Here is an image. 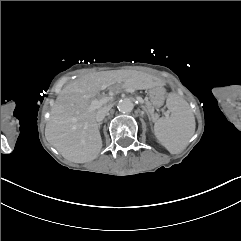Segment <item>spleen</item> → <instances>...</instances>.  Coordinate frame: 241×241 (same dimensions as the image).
<instances>
[{
  "instance_id": "spleen-1",
  "label": "spleen",
  "mask_w": 241,
  "mask_h": 241,
  "mask_svg": "<svg viewBox=\"0 0 241 241\" xmlns=\"http://www.w3.org/2000/svg\"><path fill=\"white\" fill-rule=\"evenodd\" d=\"M169 118H160L155 122L154 133L158 141L171 153L177 154L185 149L195 132V119L190 107L177 94L168 98Z\"/></svg>"
}]
</instances>
